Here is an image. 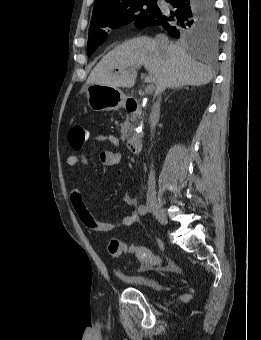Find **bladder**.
Instances as JSON below:
<instances>
[{
	"label": "bladder",
	"mask_w": 261,
	"mask_h": 340,
	"mask_svg": "<svg viewBox=\"0 0 261 340\" xmlns=\"http://www.w3.org/2000/svg\"><path fill=\"white\" fill-rule=\"evenodd\" d=\"M119 278L132 286L144 287L152 290H162L163 286L160 281L155 277L140 276V275H125L118 274Z\"/></svg>",
	"instance_id": "1"
}]
</instances>
